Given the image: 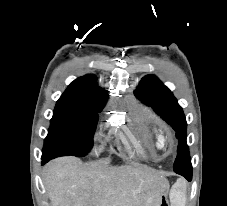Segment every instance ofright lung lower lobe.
Returning a JSON list of instances; mask_svg holds the SVG:
<instances>
[{"instance_id": "98d812e1", "label": "right lung lower lobe", "mask_w": 227, "mask_h": 206, "mask_svg": "<svg viewBox=\"0 0 227 206\" xmlns=\"http://www.w3.org/2000/svg\"><path fill=\"white\" fill-rule=\"evenodd\" d=\"M51 159H53L51 156H43L42 155V165L47 163L48 161H50Z\"/></svg>"}]
</instances>
